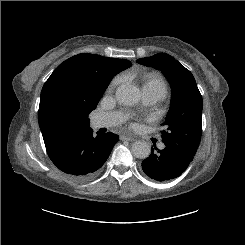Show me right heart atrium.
I'll list each match as a JSON object with an SVG mask.
<instances>
[{
  "instance_id": "d8ad5b80",
  "label": "right heart atrium",
  "mask_w": 245,
  "mask_h": 245,
  "mask_svg": "<svg viewBox=\"0 0 245 245\" xmlns=\"http://www.w3.org/2000/svg\"><path fill=\"white\" fill-rule=\"evenodd\" d=\"M121 82V78L120 77H116L112 80V82L110 83L109 88L113 89L118 83Z\"/></svg>"
}]
</instances>
